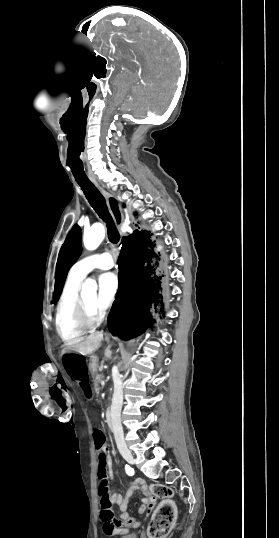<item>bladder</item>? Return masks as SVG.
Instances as JSON below:
<instances>
[{
	"label": "bladder",
	"instance_id": "obj_1",
	"mask_svg": "<svg viewBox=\"0 0 279 538\" xmlns=\"http://www.w3.org/2000/svg\"><path fill=\"white\" fill-rule=\"evenodd\" d=\"M131 538H136L134 532H132Z\"/></svg>",
	"mask_w": 279,
	"mask_h": 538
}]
</instances>
